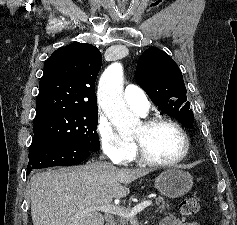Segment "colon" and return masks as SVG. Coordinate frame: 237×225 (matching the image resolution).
<instances>
[{
  "mask_svg": "<svg viewBox=\"0 0 237 225\" xmlns=\"http://www.w3.org/2000/svg\"><path fill=\"white\" fill-rule=\"evenodd\" d=\"M179 210L183 216H191L199 211V204L196 199L187 197L180 202Z\"/></svg>",
  "mask_w": 237,
  "mask_h": 225,
  "instance_id": "colon-1",
  "label": "colon"
}]
</instances>
